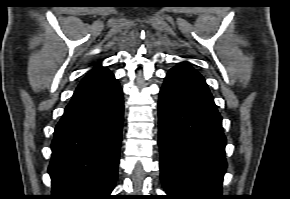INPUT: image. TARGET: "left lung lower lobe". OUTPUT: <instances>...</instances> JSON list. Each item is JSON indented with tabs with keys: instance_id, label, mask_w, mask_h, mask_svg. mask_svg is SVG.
<instances>
[{
	"instance_id": "obj_1",
	"label": "left lung lower lobe",
	"mask_w": 290,
	"mask_h": 199,
	"mask_svg": "<svg viewBox=\"0 0 290 199\" xmlns=\"http://www.w3.org/2000/svg\"><path fill=\"white\" fill-rule=\"evenodd\" d=\"M162 184L171 198L219 199L227 167L222 118L204 78L187 63L166 75L159 98Z\"/></svg>"
}]
</instances>
